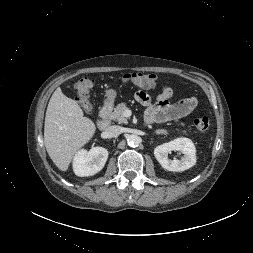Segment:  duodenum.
Here are the masks:
<instances>
[{
  "instance_id": "obj_1",
  "label": "duodenum",
  "mask_w": 253,
  "mask_h": 253,
  "mask_svg": "<svg viewBox=\"0 0 253 253\" xmlns=\"http://www.w3.org/2000/svg\"><path fill=\"white\" fill-rule=\"evenodd\" d=\"M112 106L110 104H105L99 112L96 125L100 130H105L110 124V113Z\"/></svg>"
}]
</instances>
